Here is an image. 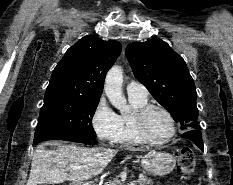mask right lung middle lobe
<instances>
[{"mask_svg":"<svg viewBox=\"0 0 233 185\" xmlns=\"http://www.w3.org/2000/svg\"><path fill=\"white\" fill-rule=\"evenodd\" d=\"M99 98L45 93L34 144L49 139L89 142L96 138L92 117Z\"/></svg>","mask_w":233,"mask_h":185,"instance_id":"dd1d6c3e","label":"right lung middle lobe"}]
</instances>
